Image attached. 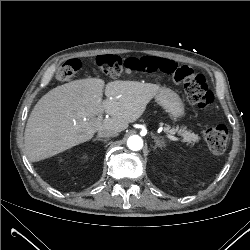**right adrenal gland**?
<instances>
[{
  "label": "right adrenal gland",
  "instance_id": "1",
  "mask_svg": "<svg viewBox=\"0 0 250 250\" xmlns=\"http://www.w3.org/2000/svg\"><path fill=\"white\" fill-rule=\"evenodd\" d=\"M93 141L108 142V141H109V139H108V138H107V139H102V138L96 137V138H94V139H93Z\"/></svg>",
  "mask_w": 250,
  "mask_h": 250
}]
</instances>
